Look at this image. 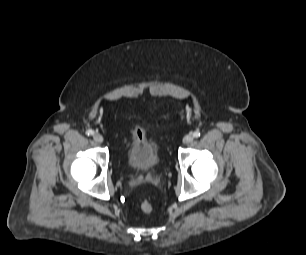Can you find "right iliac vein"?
<instances>
[{
	"label": "right iliac vein",
	"mask_w": 306,
	"mask_h": 255,
	"mask_svg": "<svg viewBox=\"0 0 306 255\" xmlns=\"http://www.w3.org/2000/svg\"><path fill=\"white\" fill-rule=\"evenodd\" d=\"M93 139L97 142V143H102L103 142V136L100 133H95L93 134Z\"/></svg>",
	"instance_id": "obj_1"
}]
</instances>
